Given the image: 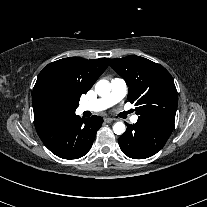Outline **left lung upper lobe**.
Instances as JSON below:
<instances>
[{
	"label": "left lung upper lobe",
	"mask_w": 207,
	"mask_h": 207,
	"mask_svg": "<svg viewBox=\"0 0 207 207\" xmlns=\"http://www.w3.org/2000/svg\"><path fill=\"white\" fill-rule=\"evenodd\" d=\"M128 87V99L136 106L140 120H156L174 124L177 90L170 73L146 58L131 55L109 60Z\"/></svg>",
	"instance_id": "obj_1"
}]
</instances>
